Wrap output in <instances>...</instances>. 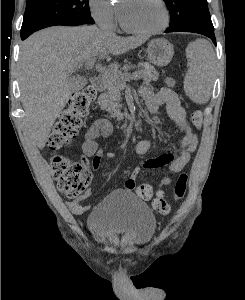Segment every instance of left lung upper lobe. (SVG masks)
Returning <instances> with one entry per match:
<instances>
[{
    "label": "left lung upper lobe",
    "mask_w": 245,
    "mask_h": 300,
    "mask_svg": "<svg viewBox=\"0 0 245 300\" xmlns=\"http://www.w3.org/2000/svg\"><path fill=\"white\" fill-rule=\"evenodd\" d=\"M170 12L169 30L183 25L214 28L207 0H164Z\"/></svg>",
    "instance_id": "left-lung-upper-lobe-1"
}]
</instances>
